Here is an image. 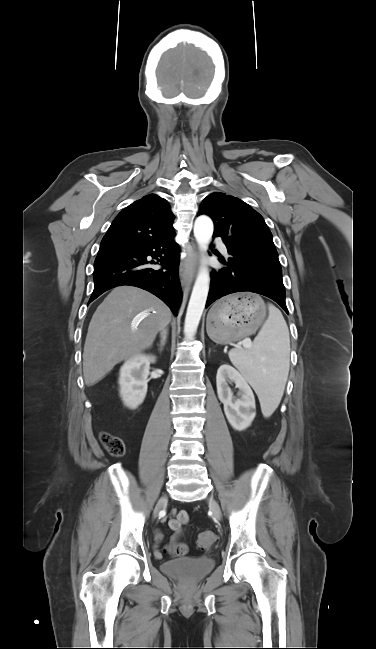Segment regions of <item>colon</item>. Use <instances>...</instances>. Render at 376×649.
<instances>
[{
  "label": "colon",
  "mask_w": 376,
  "mask_h": 649,
  "mask_svg": "<svg viewBox=\"0 0 376 649\" xmlns=\"http://www.w3.org/2000/svg\"><path fill=\"white\" fill-rule=\"evenodd\" d=\"M100 440L111 456L122 457L125 454L126 447L124 441L121 438L110 433L103 432L100 435ZM214 541L215 536L212 532L209 531L201 532L197 537V545L202 550L208 549L214 543ZM174 550L177 552H183L185 551V546L180 544L176 548H174Z\"/></svg>",
  "instance_id": "5ec220e1"
}]
</instances>
